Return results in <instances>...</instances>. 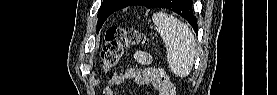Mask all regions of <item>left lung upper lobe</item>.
<instances>
[{
	"mask_svg": "<svg viewBox=\"0 0 277 95\" xmlns=\"http://www.w3.org/2000/svg\"><path fill=\"white\" fill-rule=\"evenodd\" d=\"M133 0H103L98 10L97 32H99L106 19L115 11L127 7ZM163 0H149L148 8L159 7ZM181 0L176 1L178 5Z\"/></svg>",
	"mask_w": 277,
	"mask_h": 95,
	"instance_id": "obj_1",
	"label": "left lung upper lobe"
}]
</instances>
